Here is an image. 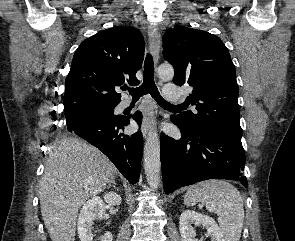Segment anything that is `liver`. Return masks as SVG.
<instances>
[{
	"label": "liver",
	"instance_id": "1",
	"mask_svg": "<svg viewBox=\"0 0 295 241\" xmlns=\"http://www.w3.org/2000/svg\"><path fill=\"white\" fill-rule=\"evenodd\" d=\"M115 172L105 155L78 138L54 147L39 183L41 214L52 241H75L79 208L103 192Z\"/></svg>",
	"mask_w": 295,
	"mask_h": 241
}]
</instances>
